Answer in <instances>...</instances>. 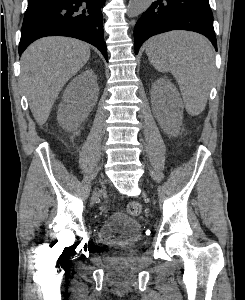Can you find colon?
<instances>
[{
    "instance_id": "obj_1",
    "label": "colon",
    "mask_w": 245,
    "mask_h": 300,
    "mask_svg": "<svg viewBox=\"0 0 245 300\" xmlns=\"http://www.w3.org/2000/svg\"><path fill=\"white\" fill-rule=\"evenodd\" d=\"M126 211L130 216H138L142 212V205L138 201H131L127 204Z\"/></svg>"
}]
</instances>
